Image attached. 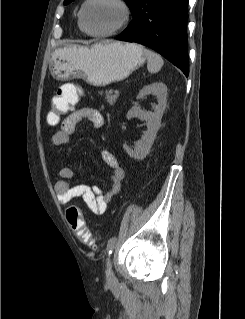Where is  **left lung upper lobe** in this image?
Returning a JSON list of instances; mask_svg holds the SVG:
<instances>
[{
    "label": "left lung upper lobe",
    "instance_id": "5c2ea615",
    "mask_svg": "<svg viewBox=\"0 0 245 319\" xmlns=\"http://www.w3.org/2000/svg\"><path fill=\"white\" fill-rule=\"evenodd\" d=\"M73 0H64V4H69L70 2H72ZM139 0H125V2L127 3L128 7L131 10V13H133L136 4L138 3Z\"/></svg>",
    "mask_w": 245,
    "mask_h": 319
}]
</instances>
